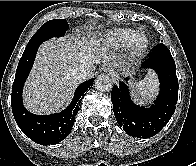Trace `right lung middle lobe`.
Masks as SVG:
<instances>
[{"label":"right lung middle lobe","mask_w":196,"mask_h":166,"mask_svg":"<svg viewBox=\"0 0 196 166\" xmlns=\"http://www.w3.org/2000/svg\"><path fill=\"white\" fill-rule=\"evenodd\" d=\"M68 29L65 19H54L46 22L30 39L26 47L40 45L42 42L52 38L61 37Z\"/></svg>","instance_id":"1"}]
</instances>
